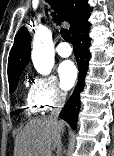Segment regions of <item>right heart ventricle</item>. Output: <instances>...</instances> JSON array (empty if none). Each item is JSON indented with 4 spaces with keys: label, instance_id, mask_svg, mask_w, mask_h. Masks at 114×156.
Returning a JSON list of instances; mask_svg holds the SVG:
<instances>
[{
    "label": "right heart ventricle",
    "instance_id": "obj_1",
    "mask_svg": "<svg viewBox=\"0 0 114 156\" xmlns=\"http://www.w3.org/2000/svg\"><path fill=\"white\" fill-rule=\"evenodd\" d=\"M24 108L29 115H35L42 111V108L35 102L30 92L26 96Z\"/></svg>",
    "mask_w": 114,
    "mask_h": 156
}]
</instances>
